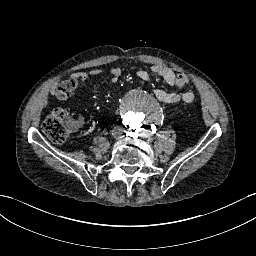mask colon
I'll use <instances>...</instances> for the list:
<instances>
[{
	"instance_id": "5ec220e1",
	"label": "colon",
	"mask_w": 256,
	"mask_h": 256,
	"mask_svg": "<svg viewBox=\"0 0 256 256\" xmlns=\"http://www.w3.org/2000/svg\"><path fill=\"white\" fill-rule=\"evenodd\" d=\"M176 84L179 88H186L189 85V78L185 73H178ZM78 79L69 78L60 83L56 90V101L64 102L76 90ZM77 123L75 120L67 117L65 110H55L42 124V129L49 139L60 143L67 139L70 131L75 129Z\"/></svg>"
}]
</instances>
